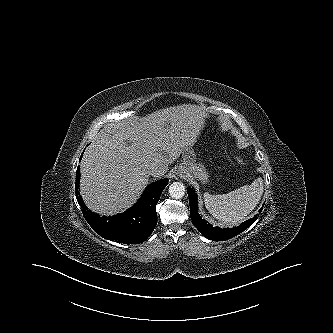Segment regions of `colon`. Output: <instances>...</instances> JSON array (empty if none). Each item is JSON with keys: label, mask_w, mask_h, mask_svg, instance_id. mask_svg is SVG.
<instances>
[{"label": "colon", "mask_w": 333, "mask_h": 333, "mask_svg": "<svg viewBox=\"0 0 333 333\" xmlns=\"http://www.w3.org/2000/svg\"><path fill=\"white\" fill-rule=\"evenodd\" d=\"M235 159L239 165L245 166V161L241 157L235 156Z\"/></svg>", "instance_id": "1"}]
</instances>
